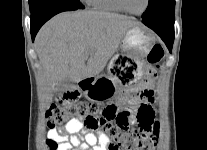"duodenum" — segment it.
<instances>
[{
	"label": "duodenum",
	"mask_w": 207,
	"mask_h": 150,
	"mask_svg": "<svg viewBox=\"0 0 207 150\" xmlns=\"http://www.w3.org/2000/svg\"><path fill=\"white\" fill-rule=\"evenodd\" d=\"M82 82L86 86H89L91 84V82H92V79L91 78H85Z\"/></svg>",
	"instance_id": "duodenum-1"
}]
</instances>
